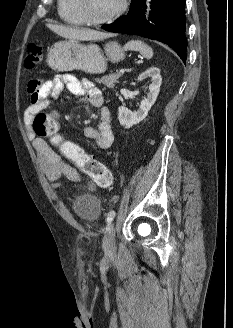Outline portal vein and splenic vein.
Returning a JSON list of instances; mask_svg holds the SVG:
<instances>
[{
  "label": "portal vein and splenic vein",
  "mask_w": 233,
  "mask_h": 328,
  "mask_svg": "<svg viewBox=\"0 0 233 328\" xmlns=\"http://www.w3.org/2000/svg\"><path fill=\"white\" fill-rule=\"evenodd\" d=\"M125 71H126L125 69H120L119 70V72L122 73V74L125 73Z\"/></svg>",
  "instance_id": "portal-vein-and-splenic-vein-1"
}]
</instances>
